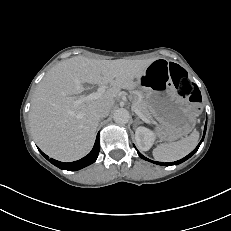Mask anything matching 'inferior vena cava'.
I'll return each mask as SVG.
<instances>
[{"mask_svg":"<svg viewBox=\"0 0 231 231\" xmlns=\"http://www.w3.org/2000/svg\"><path fill=\"white\" fill-rule=\"evenodd\" d=\"M109 112H110V109L108 107H106V106H100V107H98V109L96 111L97 116L99 118H105V117H107L108 114H109Z\"/></svg>","mask_w":231,"mask_h":231,"instance_id":"inferior-vena-cava-1","label":"inferior vena cava"}]
</instances>
